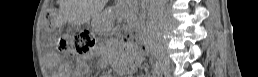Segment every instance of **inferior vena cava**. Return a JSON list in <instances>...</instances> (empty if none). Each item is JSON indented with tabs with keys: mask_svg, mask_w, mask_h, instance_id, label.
<instances>
[{
	"mask_svg": "<svg viewBox=\"0 0 258 77\" xmlns=\"http://www.w3.org/2000/svg\"><path fill=\"white\" fill-rule=\"evenodd\" d=\"M152 4L149 9V25L161 22L163 20V0H151Z\"/></svg>",
	"mask_w": 258,
	"mask_h": 77,
	"instance_id": "obj_1",
	"label": "inferior vena cava"
}]
</instances>
